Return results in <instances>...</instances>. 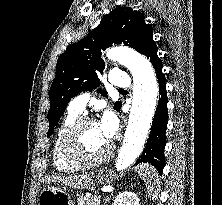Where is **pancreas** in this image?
Segmentation results:
<instances>
[{
	"mask_svg": "<svg viewBox=\"0 0 222 205\" xmlns=\"http://www.w3.org/2000/svg\"><path fill=\"white\" fill-rule=\"evenodd\" d=\"M99 203H100V197L98 196H92V197L80 196L78 198L77 205H99Z\"/></svg>",
	"mask_w": 222,
	"mask_h": 205,
	"instance_id": "cf45deb5",
	"label": "pancreas"
}]
</instances>
